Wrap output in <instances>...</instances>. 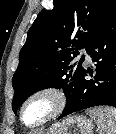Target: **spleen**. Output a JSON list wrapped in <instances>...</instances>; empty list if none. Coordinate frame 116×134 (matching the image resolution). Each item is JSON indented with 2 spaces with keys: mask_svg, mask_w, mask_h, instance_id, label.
Here are the masks:
<instances>
[{
  "mask_svg": "<svg viewBox=\"0 0 116 134\" xmlns=\"http://www.w3.org/2000/svg\"><path fill=\"white\" fill-rule=\"evenodd\" d=\"M87 114L96 121L100 134H116V108H94L88 110Z\"/></svg>",
  "mask_w": 116,
  "mask_h": 134,
  "instance_id": "obj_1",
  "label": "spleen"
}]
</instances>
